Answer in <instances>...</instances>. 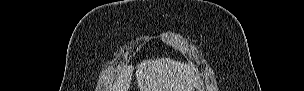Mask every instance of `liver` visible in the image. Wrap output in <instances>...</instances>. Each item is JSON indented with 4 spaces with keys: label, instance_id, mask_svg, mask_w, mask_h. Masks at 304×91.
Here are the masks:
<instances>
[{
    "label": "liver",
    "instance_id": "1",
    "mask_svg": "<svg viewBox=\"0 0 304 91\" xmlns=\"http://www.w3.org/2000/svg\"><path fill=\"white\" fill-rule=\"evenodd\" d=\"M132 66L118 73L110 91H128L132 77ZM191 64L169 58L144 60L136 67V79L140 91H195L198 74Z\"/></svg>",
    "mask_w": 304,
    "mask_h": 91
}]
</instances>
